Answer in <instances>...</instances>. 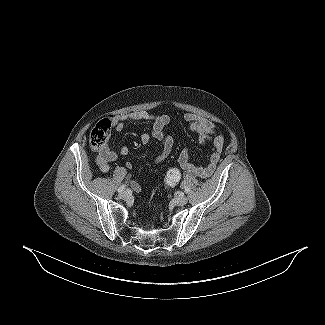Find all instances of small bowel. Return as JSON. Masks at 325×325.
<instances>
[{
    "instance_id": "c3829d8e",
    "label": "small bowel",
    "mask_w": 325,
    "mask_h": 325,
    "mask_svg": "<svg viewBox=\"0 0 325 325\" xmlns=\"http://www.w3.org/2000/svg\"><path fill=\"white\" fill-rule=\"evenodd\" d=\"M184 120L188 123L189 129L198 135L202 145L211 146L212 153L209 161L205 165H194L190 162L188 149H183L178 157V164L184 171L186 178L191 177H211L219 163L223 147L224 139L220 135L214 134V125L208 121L196 117L193 114H186ZM131 121H146L152 124L150 132H144L141 135L142 143H148L152 138L156 139L160 145V153L154 159L155 163L163 162L172 153L174 140L172 136L164 133V128L168 125L170 118L167 115H153L146 111H137L128 114H122L113 118L114 130L120 132L125 129L126 125ZM129 149L126 146L120 147L114 151L106 144L96 154V164L99 169L106 172L110 168V163L120 156H126ZM127 168H131V163L126 164ZM134 191H141V185L135 181L131 182Z\"/></svg>"
}]
</instances>
